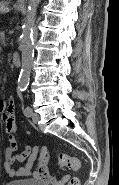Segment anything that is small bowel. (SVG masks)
<instances>
[{
	"label": "small bowel",
	"instance_id": "obj_1",
	"mask_svg": "<svg viewBox=\"0 0 119 185\" xmlns=\"http://www.w3.org/2000/svg\"><path fill=\"white\" fill-rule=\"evenodd\" d=\"M0 112L4 131L9 142L4 151L3 167L10 177H28L45 181L49 185H66L70 175L66 174L58 179L53 178L48 171V151L46 147L24 145L20 153H16L19 145L16 141L17 125L14 117V104L12 100H0ZM23 167H16V163H24ZM36 163L35 168L33 169Z\"/></svg>",
	"mask_w": 119,
	"mask_h": 185
}]
</instances>
